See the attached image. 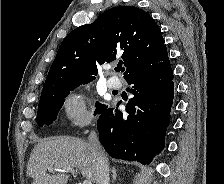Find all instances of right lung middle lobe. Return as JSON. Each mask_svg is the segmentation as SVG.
Here are the masks:
<instances>
[{"label": "right lung middle lobe", "mask_w": 224, "mask_h": 184, "mask_svg": "<svg viewBox=\"0 0 224 184\" xmlns=\"http://www.w3.org/2000/svg\"><path fill=\"white\" fill-rule=\"evenodd\" d=\"M88 83V82H87ZM81 83L70 85L50 96L41 98L38 105L37 124L43 126L44 124L50 125L57 117L58 111L63 105L64 98L67 97L70 91L78 87ZM97 109L94 115L99 114L103 108L102 104H96Z\"/></svg>", "instance_id": "right-lung-middle-lobe-1"}]
</instances>
